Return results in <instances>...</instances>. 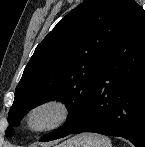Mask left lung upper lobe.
<instances>
[{"label": "left lung upper lobe", "mask_w": 145, "mask_h": 147, "mask_svg": "<svg viewBox=\"0 0 145 147\" xmlns=\"http://www.w3.org/2000/svg\"><path fill=\"white\" fill-rule=\"evenodd\" d=\"M131 0H84L68 13L36 47L15 90L9 111L14 134L21 118L32 108L63 102L66 123L43 138L45 141L75 128L98 83L102 68L118 37Z\"/></svg>", "instance_id": "1"}]
</instances>
